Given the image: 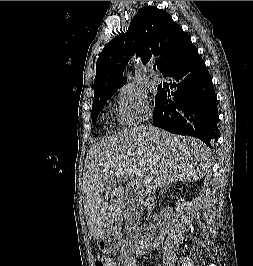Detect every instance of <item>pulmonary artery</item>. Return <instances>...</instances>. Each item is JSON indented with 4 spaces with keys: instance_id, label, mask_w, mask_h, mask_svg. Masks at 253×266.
Listing matches in <instances>:
<instances>
[{
    "instance_id": "obj_1",
    "label": "pulmonary artery",
    "mask_w": 253,
    "mask_h": 266,
    "mask_svg": "<svg viewBox=\"0 0 253 266\" xmlns=\"http://www.w3.org/2000/svg\"><path fill=\"white\" fill-rule=\"evenodd\" d=\"M149 71H150V78H151V81H152L153 83H155V84H159V83L161 82L160 77H159L157 74L153 73V71H152L151 68H149Z\"/></svg>"
}]
</instances>
